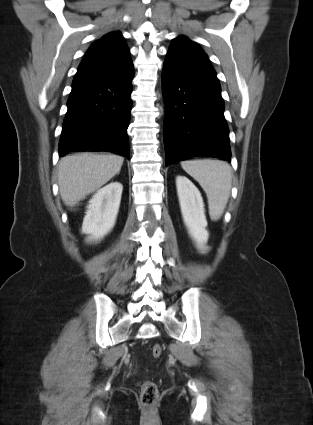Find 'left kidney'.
Returning <instances> with one entry per match:
<instances>
[{
    "mask_svg": "<svg viewBox=\"0 0 313 425\" xmlns=\"http://www.w3.org/2000/svg\"><path fill=\"white\" fill-rule=\"evenodd\" d=\"M177 195L179 198L183 221L188 233L202 253L207 250L209 233L206 230L207 220L202 196L197 187L185 176L176 177Z\"/></svg>",
    "mask_w": 313,
    "mask_h": 425,
    "instance_id": "1",
    "label": "left kidney"
}]
</instances>
